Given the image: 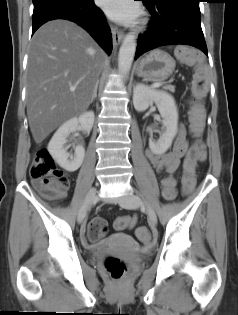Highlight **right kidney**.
<instances>
[{"label": "right kidney", "instance_id": "obj_1", "mask_svg": "<svg viewBox=\"0 0 238 315\" xmlns=\"http://www.w3.org/2000/svg\"><path fill=\"white\" fill-rule=\"evenodd\" d=\"M94 112L87 111L79 117H74L62 124L53 135L48 144V151L60 167L68 172H74L80 168L85 156V148L82 145L75 147L74 154L67 152V137L79 127L89 133L94 124Z\"/></svg>", "mask_w": 238, "mask_h": 315}]
</instances>
